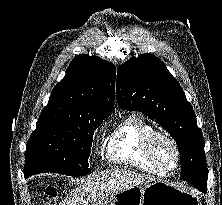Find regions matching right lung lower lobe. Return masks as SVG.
<instances>
[{
	"instance_id": "right-lung-lower-lobe-1",
	"label": "right lung lower lobe",
	"mask_w": 222,
	"mask_h": 205,
	"mask_svg": "<svg viewBox=\"0 0 222 205\" xmlns=\"http://www.w3.org/2000/svg\"><path fill=\"white\" fill-rule=\"evenodd\" d=\"M24 176H25V178H26V177H28L29 175H28L27 173L24 172Z\"/></svg>"
}]
</instances>
